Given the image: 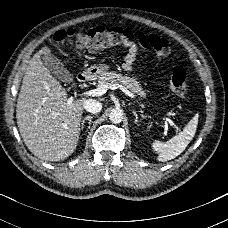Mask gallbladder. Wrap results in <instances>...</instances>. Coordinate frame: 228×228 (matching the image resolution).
I'll return each instance as SVG.
<instances>
[{"instance_id":"obj_1","label":"gallbladder","mask_w":228,"mask_h":228,"mask_svg":"<svg viewBox=\"0 0 228 228\" xmlns=\"http://www.w3.org/2000/svg\"><path fill=\"white\" fill-rule=\"evenodd\" d=\"M45 60L46 66L50 69L52 74L58 79L70 83L73 77L68 69L65 68L64 64L56 59L53 55L50 56L49 60Z\"/></svg>"}]
</instances>
